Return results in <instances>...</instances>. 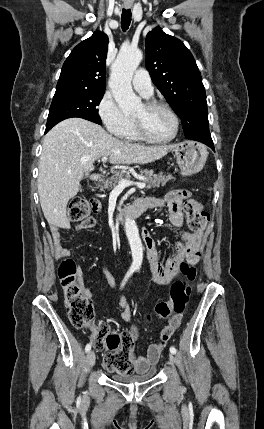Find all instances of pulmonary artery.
<instances>
[{
    "label": "pulmonary artery",
    "mask_w": 264,
    "mask_h": 429,
    "mask_svg": "<svg viewBox=\"0 0 264 429\" xmlns=\"http://www.w3.org/2000/svg\"><path fill=\"white\" fill-rule=\"evenodd\" d=\"M132 85L134 89L145 98H149L153 95L154 88L150 76L145 69H139L135 72Z\"/></svg>",
    "instance_id": "pulmonary-artery-1"
}]
</instances>
